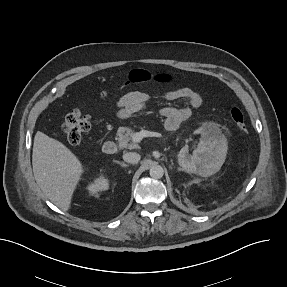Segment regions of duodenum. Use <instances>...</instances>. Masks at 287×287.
<instances>
[{
  "label": "duodenum",
  "mask_w": 287,
  "mask_h": 287,
  "mask_svg": "<svg viewBox=\"0 0 287 287\" xmlns=\"http://www.w3.org/2000/svg\"><path fill=\"white\" fill-rule=\"evenodd\" d=\"M104 153L108 155L115 154L117 152V145L113 141H107L103 146Z\"/></svg>",
  "instance_id": "410a0bca"
}]
</instances>
